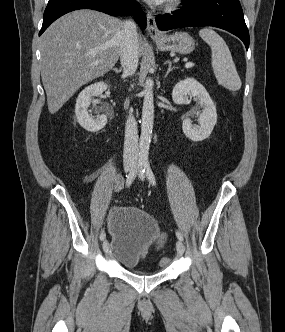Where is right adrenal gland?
<instances>
[{"mask_svg": "<svg viewBox=\"0 0 285 332\" xmlns=\"http://www.w3.org/2000/svg\"><path fill=\"white\" fill-rule=\"evenodd\" d=\"M116 73H121V69L114 68L113 69Z\"/></svg>", "mask_w": 285, "mask_h": 332, "instance_id": "2a0ac1e0", "label": "right adrenal gland"}]
</instances>
